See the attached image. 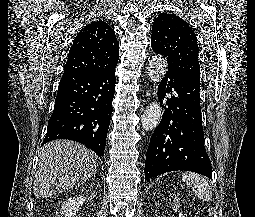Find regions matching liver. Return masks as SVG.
I'll use <instances>...</instances> for the list:
<instances>
[{"mask_svg":"<svg viewBox=\"0 0 255 217\" xmlns=\"http://www.w3.org/2000/svg\"><path fill=\"white\" fill-rule=\"evenodd\" d=\"M34 179V195L45 198L83 184L96 172L97 156L70 140H55L42 147Z\"/></svg>","mask_w":255,"mask_h":217,"instance_id":"liver-1","label":"liver"}]
</instances>
